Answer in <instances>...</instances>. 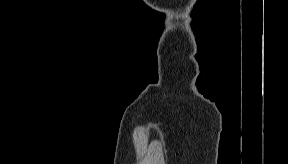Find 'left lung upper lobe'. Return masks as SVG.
Wrapping results in <instances>:
<instances>
[{"mask_svg":"<svg viewBox=\"0 0 288 164\" xmlns=\"http://www.w3.org/2000/svg\"><path fill=\"white\" fill-rule=\"evenodd\" d=\"M222 80L221 79H217L213 82L212 87L213 88H218V85L221 84Z\"/></svg>","mask_w":288,"mask_h":164,"instance_id":"left-lung-upper-lobe-1","label":"left lung upper lobe"}]
</instances>
